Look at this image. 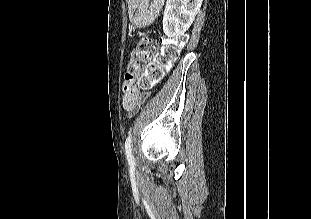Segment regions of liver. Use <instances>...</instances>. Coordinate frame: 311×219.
I'll list each match as a JSON object with an SVG mask.
<instances>
[{
	"label": "liver",
	"mask_w": 311,
	"mask_h": 219,
	"mask_svg": "<svg viewBox=\"0 0 311 219\" xmlns=\"http://www.w3.org/2000/svg\"><path fill=\"white\" fill-rule=\"evenodd\" d=\"M128 3L137 4L139 0H127Z\"/></svg>",
	"instance_id": "1"
}]
</instances>
